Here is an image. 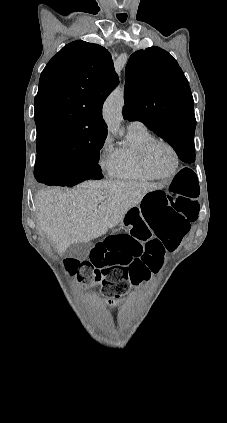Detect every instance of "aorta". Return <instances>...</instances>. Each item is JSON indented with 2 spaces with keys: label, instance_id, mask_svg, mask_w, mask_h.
<instances>
[{
  "label": "aorta",
  "instance_id": "1",
  "mask_svg": "<svg viewBox=\"0 0 227 423\" xmlns=\"http://www.w3.org/2000/svg\"><path fill=\"white\" fill-rule=\"evenodd\" d=\"M124 93L120 88H116L106 99L103 105V118L107 129L112 134H117L122 121V109L124 106Z\"/></svg>",
  "mask_w": 227,
  "mask_h": 423
}]
</instances>
